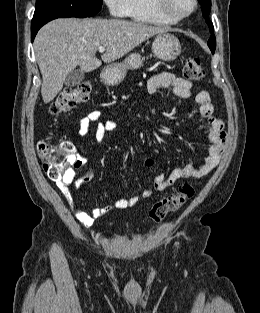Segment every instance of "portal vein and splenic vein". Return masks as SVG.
Instances as JSON below:
<instances>
[{"label": "portal vein and splenic vein", "instance_id": "1", "mask_svg": "<svg viewBox=\"0 0 260 313\" xmlns=\"http://www.w3.org/2000/svg\"><path fill=\"white\" fill-rule=\"evenodd\" d=\"M105 49H106V47H104V46H99V47H98V51H99V52H104Z\"/></svg>", "mask_w": 260, "mask_h": 313}]
</instances>
